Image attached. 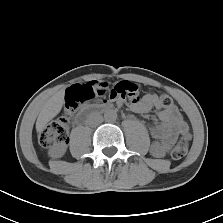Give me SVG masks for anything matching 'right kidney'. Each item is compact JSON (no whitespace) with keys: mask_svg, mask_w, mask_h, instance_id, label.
<instances>
[{"mask_svg":"<svg viewBox=\"0 0 223 223\" xmlns=\"http://www.w3.org/2000/svg\"><path fill=\"white\" fill-rule=\"evenodd\" d=\"M66 152V146L63 143H59L54 145L50 150H49V155L51 157L57 158L61 157L65 154Z\"/></svg>","mask_w":223,"mask_h":223,"instance_id":"obj_1","label":"right kidney"}]
</instances>
